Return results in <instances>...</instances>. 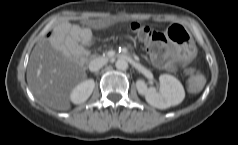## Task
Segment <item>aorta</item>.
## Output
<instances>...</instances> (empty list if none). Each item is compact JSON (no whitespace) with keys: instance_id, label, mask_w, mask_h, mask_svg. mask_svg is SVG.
Returning <instances> with one entry per match:
<instances>
[{"instance_id":"762f6f07","label":"aorta","mask_w":238,"mask_h":145,"mask_svg":"<svg viewBox=\"0 0 238 145\" xmlns=\"http://www.w3.org/2000/svg\"><path fill=\"white\" fill-rule=\"evenodd\" d=\"M115 66L118 70H126L128 67V63L125 59L120 58L115 62Z\"/></svg>"}]
</instances>
